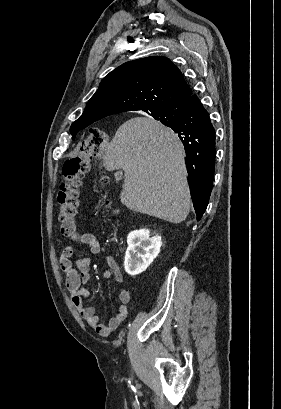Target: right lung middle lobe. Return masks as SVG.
Masks as SVG:
<instances>
[{
	"instance_id": "1",
	"label": "right lung middle lobe",
	"mask_w": 281,
	"mask_h": 409,
	"mask_svg": "<svg viewBox=\"0 0 281 409\" xmlns=\"http://www.w3.org/2000/svg\"><path fill=\"white\" fill-rule=\"evenodd\" d=\"M156 120H159L162 124H164V125H166V126H168V125H170L171 123H173L174 122V118L173 117H161V118H155ZM81 129L80 128H70V132H71V135H72V138L74 139L75 138V136H76V134L78 133V131H80Z\"/></svg>"
}]
</instances>
